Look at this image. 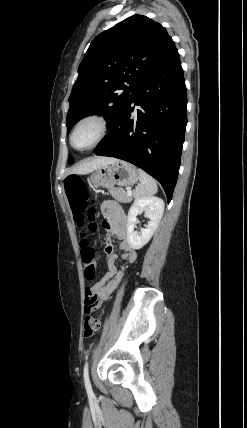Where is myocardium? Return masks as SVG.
<instances>
[{
    "label": "myocardium",
    "instance_id": "obj_1",
    "mask_svg": "<svg viewBox=\"0 0 247 428\" xmlns=\"http://www.w3.org/2000/svg\"><path fill=\"white\" fill-rule=\"evenodd\" d=\"M88 122H93L98 126V133L97 136L95 138V140L89 144L86 147L83 148H79L74 144V136L77 132V130L84 125L85 123ZM109 131V123L107 118L101 114V113H97V112H93V113H89L86 114L82 117H80L76 123L74 124L70 136H69V142L70 145L72 146L73 149L77 150V151H88L91 150L93 148H95L96 146H98L106 137V135L108 134Z\"/></svg>",
    "mask_w": 247,
    "mask_h": 428
}]
</instances>
